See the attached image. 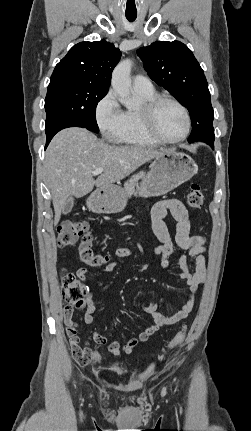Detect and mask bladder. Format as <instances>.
<instances>
[{"instance_id":"obj_1","label":"bladder","mask_w":251,"mask_h":431,"mask_svg":"<svg viewBox=\"0 0 251 431\" xmlns=\"http://www.w3.org/2000/svg\"><path fill=\"white\" fill-rule=\"evenodd\" d=\"M111 372L116 374V375H122L125 373V368L121 365H113L110 368Z\"/></svg>"}]
</instances>
